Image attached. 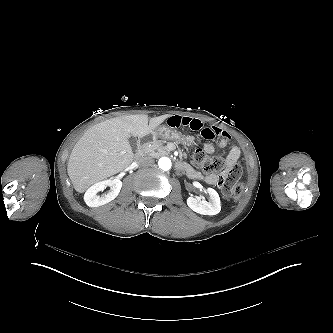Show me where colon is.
Returning a JSON list of instances; mask_svg holds the SVG:
<instances>
[{
    "label": "colon",
    "instance_id": "1",
    "mask_svg": "<svg viewBox=\"0 0 333 333\" xmlns=\"http://www.w3.org/2000/svg\"><path fill=\"white\" fill-rule=\"evenodd\" d=\"M192 159L204 174H217L216 183L225 197L239 199L243 195L245 187L241 182L242 168L239 163H228L223 157L208 155L199 148L193 150Z\"/></svg>",
    "mask_w": 333,
    "mask_h": 333
}]
</instances>
